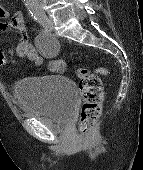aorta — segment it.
<instances>
[{"mask_svg": "<svg viewBox=\"0 0 143 170\" xmlns=\"http://www.w3.org/2000/svg\"><path fill=\"white\" fill-rule=\"evenodd\" d=\"M24 1L27 9L34 18H38L44 15L41 0H24Z\"/></svg>", "mask_w": 143, "mask_h": 170, "instance_id": "1", "label": "aorta"}]
</instances>
